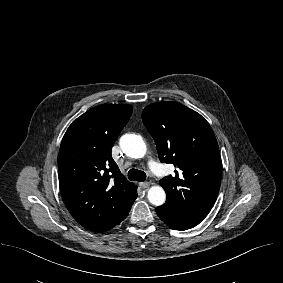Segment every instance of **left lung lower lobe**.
Here are the masks:
<instances>
[{
	"instance_id": "left-lung-lower-lobe-1",
	"label": "left lung lower lobe",
	"mask_w": 283,
	"mask_h": 283,
	"mask_svg": "<svg viewBox=\"0 0 283 283\" xmlns=\"http://www.w3.org/2000/svg\"><path fill=\"white\" fill-rule=\"evenodd\" d=\"M157 215L164 221L168 226L176 230H187L202 220L183 216L173 210L164 209L161 206L156 208Z\"/></svg>"
}]
</instances>
